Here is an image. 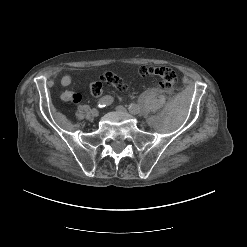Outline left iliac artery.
Returning <instances> with one entry per match:
<instances>
[{"instance_id":"obj_1","label":"left iliac artery","mask_w":247,"mask_h":247,"mask_svg":"<svg viewBox=\"0 0 247 247\" xmlns=\"http://www.w3.org/2000/svg\"><path fill=\"white\" fill-rule=\"evenodd\" d=\"M128 109L132 114H138L140 112V107L136 104H131Z\"/></svg>"}]
</instances>
